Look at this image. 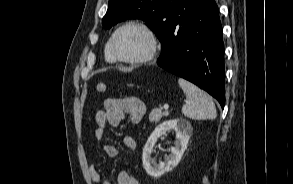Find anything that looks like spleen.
Wrapping results in <instances>:
<instances>
[{"label":"spleen","mask_w":293,"mask_h":184,"mask_svg":"<svg viewBox=\"0 0 293 184\" xmlns=\"http://www.w3.org/2000/svg\"><path fill=\"white\" fill-rule=\"evenodd\" d=\"M178 84L186 95V101L182 107L184 116L197 120L216 118L215 104L205 91L182 78L178 79Z\"/></svg>","instance_id":"1"}]
</instances>
